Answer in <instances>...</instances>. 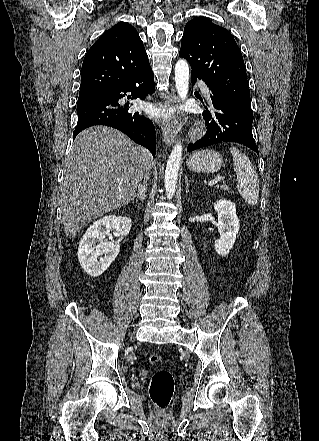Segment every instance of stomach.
<instances>
[{
  "mask_svg": "<svg viewBox=\"0 0 319 441\" xmlns=\"http://www.w3.org/2000/svg\"><path fill=\"white\" fill-rule=\"evenodd\" d=\"M223 164V158L215 150L206 149L192 154L187 160V167L194 172L214 173Z\"/></svg>",
  "mask_w": 319,
  "mask_h": 441,
  "instance_id": "obj_1",
  "label": "stomach"
}]
</instances>
